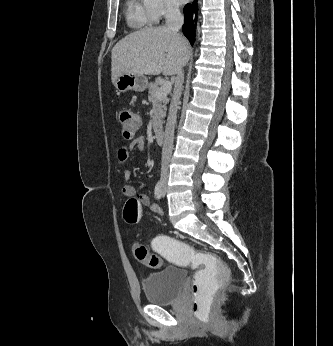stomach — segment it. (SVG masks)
Segmentation results:
<instances>
[{
    "label": "stomach",
    "instance_id": "0dacf381",
    "mask_svg": "<svg viewBox=\"0 0 333 346\" xmlns=\"http://www.w3.org/2000/svg\"><path fill=\"white\" fill-rule=\"evenodd\" d=\"M113 84L121 93L129 90L143 92L148 86V80L144 75L124 73L118 76Z\"/></svg>",
    "mask_w": 333,
    "mask_h": 346
}]
</instances>
